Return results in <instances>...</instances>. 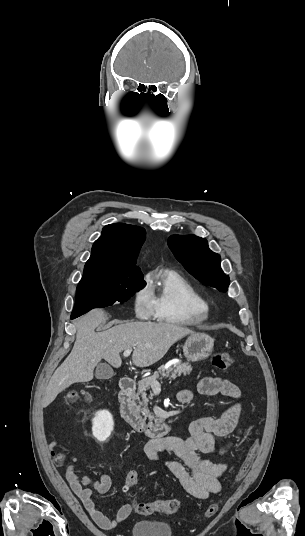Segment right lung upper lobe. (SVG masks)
I'll return each mask as SVG.
<instances>
[{
  "label": "right lung upper lobe",
  "mask_w": 305,
  "mask_h": 536,
  "mask_svg": "<svg viewBox=\"0 0 305 536\" xmlns=\"http://www.w3.org/2000/svg\"><path fill=\"white\" fill-rule=\"evenodd\" d=\"M146 232L127 224H110L92 247L91 257L84 267L83 277L99 279L139 278L143 274L135 266Z\"/></svg>",
  "instance_id": "cb5924a9"
}]
</instances>
